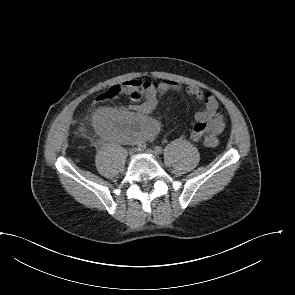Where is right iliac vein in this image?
I'll use <instances>...</instances> for the list:
<instances>
[{
  "instance_id": "right-iliac-vein-1",
  "label": "right iliac vein",
  "mask_w": 295,
  "mask_h": 295,
  "mask_svg": "<svg viewBox=\"0 0 295 295\" xmlns=\"http://www.w3.org/2000/svg\"><path fill=\"white\" fill-rule=\"evenodd\" d=\"M136 148H131L130 150H129V154L132 156V155H134L135 153H136Z\"/></svg>"
}]
</instances>
